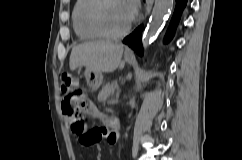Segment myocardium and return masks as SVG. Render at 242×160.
Listing matches in <instances>:
<instances>
[{
    "label": "myocardium",
    "instance_id": "1",
    "mask_svg": "<svg viewBox=\"0 0 242 160\" xmlns=\"http://www.w3.org/2000/svg\"><path fill=\"white\" fill-rule=\"evenodd\" d=\"M107 0H96L93 6L91 7L90 13H89V20L90 24L93 27V29L97 32V34L108 40H119L127 36L134 25V18L131 20L129 25L120 33L118 34H111L107 32L101 22V10L103 5L105 4Z\"/></svg>",
    "mask_w": 242,
    "mask_h": 160
}]
</instances>
